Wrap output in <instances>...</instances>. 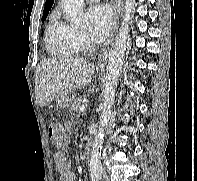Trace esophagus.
<instances>
[{"mask_svg": "<svg viewBox=\"0 0 197 181\" xmlns=\"http://www.w3.org/2000/svg\"><path fill=\"white\" fill-rule=\"evenodd\" d=\"M121 9H122V0H114L113 28H112L111 35L106 42L105 47L102 49V51L99 55V59L97 62V68H102L104 66V63L110 54L111 46L113 45L114 37H115V35L117 33V29H118L119 16H120Z\"/></svg>", "mask_w": 197, "mask_h": 181, "instance_id": "obj_1", "label": "esophagus"}]
</instances>
